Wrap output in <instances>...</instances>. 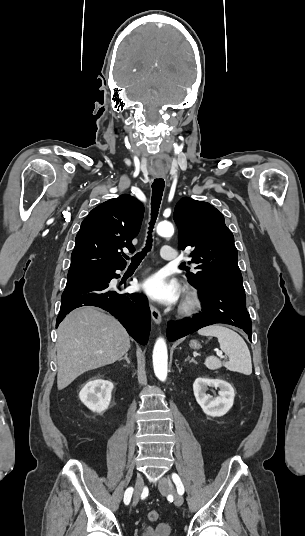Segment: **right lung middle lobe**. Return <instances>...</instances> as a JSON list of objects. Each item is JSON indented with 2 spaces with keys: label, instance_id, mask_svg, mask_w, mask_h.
Listing matches in <instances>:
<instances>
[{
  "label": "right lung middle lobe",
  "instance_id": "1",
  "mask_svg": "<svg viewBox=\"0 0 305 536\" xmlns=\"http://www.w3.org/2000/svg\"><path fill=\"white\" fill-rule=\"evenodd\" d=\"M112 273H113L112 271H109V272H100V273H95V274H91V275H86V276H81V277L71 278V279H68V280H73V279H94V280H105V279H107Z\"/></svg>",
  "mask_w": 305,
  "mask_h": 536
}]
</instances>
